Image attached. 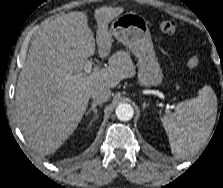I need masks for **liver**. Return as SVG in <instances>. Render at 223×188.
I'll return each mask as SVG.
<instances>
[{
  "instance_id": "6515ba94",
  "label": "liver",
  "mask_w": 223,
  "mask_h": 188,
  "mask_svg": "<svg viewBox=\"0 0 223 188\" xmlns=\"http://www.w3.org/2000/svg\"><path fill=\"white\" fill-rule=\"evenodd\" d=\"M123 12L122 7L96 9V39L83 12L46 20L33 38L18 77L15 105L24 137L40 154L54 153L74 132L93 89L114 88L129 76L126 64L115 58L109 59L107 68L89 75L82 72L96 45L101 58L110 54L113 40L108 25ZM72 73L76 77L68 79Z\"/></svg>"
}]
</instances>
